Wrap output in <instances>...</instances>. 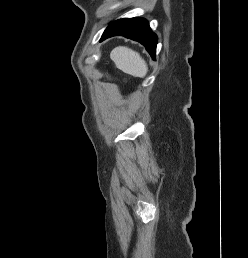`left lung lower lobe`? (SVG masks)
<instances>
[{
  "label": "left lung lower lobe",
  "instance_id": "1",
  "mask_svg": "<svg viewBox=\"0 0 248 258\" xmlns=\"http://www.w3.org/2000/svg\"><path fill=\"white\" fill-rule=\"evenodd\" d=\"M124 36L138 41L145 46L151 57L155 59L157 36L144 18H124L116 20L106 28L100 41L113 36Z\"/></svg>",
  "mask_w": 248,
  "mask_h": 258
}]
</instances>
